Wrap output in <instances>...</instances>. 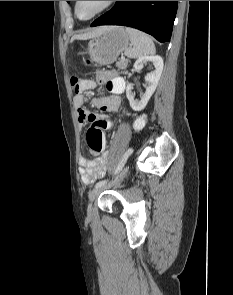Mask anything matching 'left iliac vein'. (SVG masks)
<instances>
[{
    "label": "left iliac vein",
    "mask_w": 233,
    "mask_h": 295,
    "mask_svg": "<svg viewBox=\"0 0 233 295\" xmlns=\"http://www.w3.org/2000/svg\"><path fill=\"white\" fill-rule=\"evenodd\" d=\"M129 167H125L124 170L120 173V175L116 178V180L114 181V183L120 181L128 172ZM106 188V186H100L97 187L95 189H93L90 193H89V204L87 207V214L88 216L92 215L93 212V202L94 200L99 196V194Z\"/></svg>",
    "instance_id": "obj_1"
}]
</instances>
